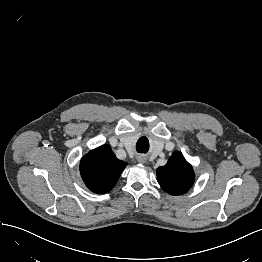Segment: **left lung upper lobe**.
<instances>
[{
  "mask_svg": "<svg viewBox=\"0 0 262 262\" xmlns=\"http://www.w3.org/2000/svg\"><path fill=\"white\" fill-rule=\"evenodd\" d=\"M157 180L161 188L171 195H181L194 182L192 166L185 161L181 152H174L167 164L157 169Z\"/></svg>",
  "mask_w": 262,
  "mask_h": 262,
  "instance_id": "obj_1",
  "label": "left lung upper lobe"
}]
</instances>
